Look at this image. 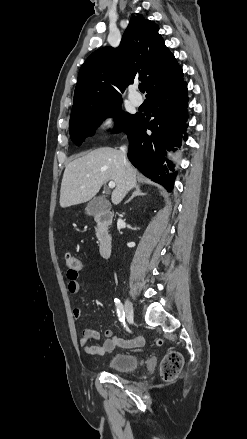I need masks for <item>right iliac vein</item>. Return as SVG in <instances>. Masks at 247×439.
<instances>
[{
    "label": "right iliac vein",
    "instance_id": "right-iliac-vein-1",
    "mask_svg": "<svg viewBox=\"0 0 247 439\" xmlns=\"http://www.w3.org/2000/svg\"><path fill=\"white\" fill-rule=\"evenodd\" d=\"M125 313H126L127 321L132 322L134 317L133 306L130 300L127 298L125 299Z\"/></svg>",
    "mask_w": 247,
    "mask_h": 439
}]
</instances>
